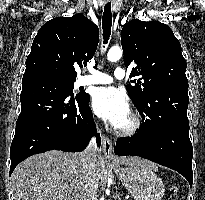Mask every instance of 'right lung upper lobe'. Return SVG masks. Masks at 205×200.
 Returning <instances> with one entry per match:
<instances>
[{
  "instance_id": "cb5924a9",
  "label": "right lung upper lobe",
  "mask_w": 205,
  "mask_h": 200,
  "mask_svg": "<svg viewBox=\"0 0 205 200\" xmlns=\"http://www.w3.org/2000/svg\"><path fill=\"white\" fill-rule=\"evenodd\" d=\"M98 27L83 14L58 17L45 23L34 38L23 78L56 75L76 80L98 46Z\"/></svg>"
}]
</instances>
